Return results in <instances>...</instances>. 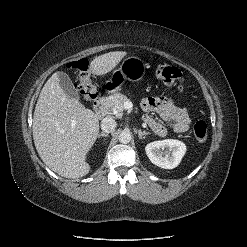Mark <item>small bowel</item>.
Masks as SVG:
<instances>
[{"mask_svg": "<svg viewBox=\"0 0 247 247\" xmlns=\"http://www.w3.org/2000/svg\"><path fill=\"white\" fill-rule=\"evenodd\" d=\"M141 107L146 113L143 117L144 122L159 136H165L167 128L149 115L151 112L157 113L165 122L171 123L176 133H184L189 129L191 120L187 109L178 106L172 97H148L142 101Z\"/></svg>", "mask_w": 247, "mask_h": 247, "instance_id": "obj_1", "label": "small bowel"}]
</instances>
